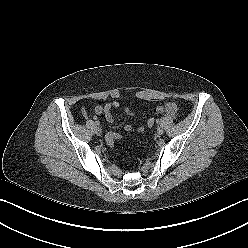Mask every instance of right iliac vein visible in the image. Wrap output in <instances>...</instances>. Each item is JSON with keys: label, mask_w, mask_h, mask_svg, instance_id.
<instances>
[{"label": "right iliac vein", "mask_w": 248, "mask_h": 248, "mask_svg": "<svg viewBox=\"0 0 248 248\" xmlns=\"http://www.w3.org/2000/svg\"><path fill=\"white\" fill-rule=\"evenodd\" d=\"M95 133L100 136L102 134V129L97 127Z\"/></svg>", "instance_id": "right-iliac-vein-1"}]
</instances>
